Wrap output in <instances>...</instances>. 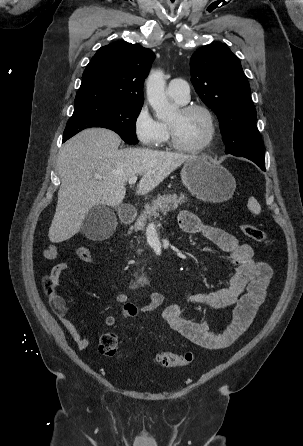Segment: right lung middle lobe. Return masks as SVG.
I'll list each match as a JSON object with an SVG mask.
<instances>
[{
  "label": "right lung middle lobe",
  "mask_w": 303,
  "mask_h": 446,
  "mask_svg": "<svg viewBox=\"0 0 303 446\" xmlns=\"http://www.w3.org/2000/svg\"><path fill=\"white\" fill-rule=\"evenodd\" d=\"M142 105L104 102L75 107L69 119L63 142L89 127H103L115 131L129 144H136L135 122Z\"/></svg>",
  "instance_id": "obj_1"
}]
</instances>
